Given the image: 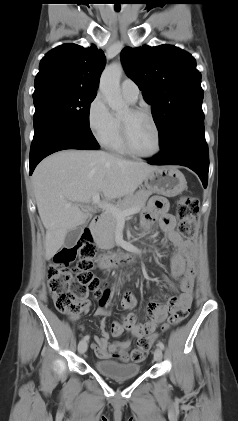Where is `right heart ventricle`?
Listing matches in <instances>:
<instances>
[{
  "mask_svg": "<svg viewBox=\"0 0 238 421\" xmlns=\"http://www.w3.org/2000/svg\"><path fill=\"white\" fill-rule=\"evenodd\" d=\"M117 120V128L116 131L113 135V137L104 145L111 151L119 153V154H123V155H127L129 154L128 151L126 150L123 141H122V137H121V131H120V122L119 119L116 118Z\"/></svg>",
  "mask_w": 238,
  "mask_h": 421,
  "instance_id": "e07e8e85",
  "label": "right heart ventricle"
}]
</instances>
